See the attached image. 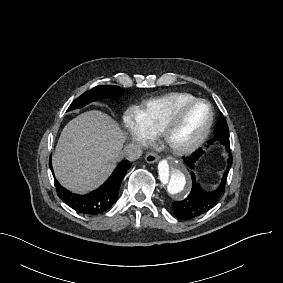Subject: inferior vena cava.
I'll use <instances>...</instances> for the list:
<instances>
[{
  "label": "inferior vena cava",
  "mask_w": 283,
  "mask_h": 283,
  "mask_svg": "<svg viewBox=\"0 0 283 283\" xmlns=\"http://www.w3.org/2000/svg\"><path fill=\"white\" fill-rule=\"evenodd\" d=\"M142 154L143 150L141 146L137 143L127 144L122 151L123 157H125V159L129 161H135L141 158Z\"/></svg>",
  "instance_id": "1"
}]
</instances>
